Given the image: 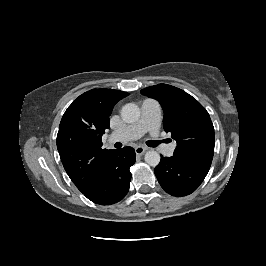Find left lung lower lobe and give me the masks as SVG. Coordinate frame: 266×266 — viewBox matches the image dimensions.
I'll return each mask as SVG.
<instances>
[{
	"mask_svg": "<svg viewBox=\"0 0 266 266\" xmlns=\"http://www.w3.org/2000/svg\"><path fill=\"white\" fill-rule=\"evenodd\" d=\"M211 163L184 161L161 156L155 174L161 187L170 195L186 196L194 192L206 177Z\"/></svg>",
	"mask_w": 266,
	"mask_h": 266,
	"instance_id": "obj_1",
	"label": "left lung lower lobe"
}]
</instances>
